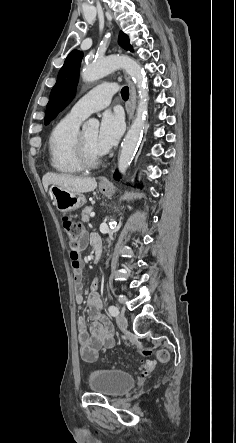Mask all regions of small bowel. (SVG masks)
I'll return each mask as SVG.
<instances>
[{
    "mask_svg": "<svg viewBox=\"0 0 236 443\" xmlns=\"http://www.w3.org/2000/svg\"><path fill=\"white\" fill-rule=\"evenodd\" d=\"M87 241L86 236L80 239L81 246ZM90 243L95 249L101 245L100 240L93 236L90 238ZM81 266L82 262L80 260ZM83 266L80 272L74 271V288L75 300L79 306H86L88 315L93 321L91 329H88L87 321L84 317L77 320L78 342L81 347V355L84 357L85 353L91 355V359L87 361H94L97 358L98 351L101 348H112L114 346L113 329L110 322L101 313V297L97 291L98 283L94 281L89 292L87 300L83 296Z\"/></svg>",
    "mask_w": 236,
    "mask_h": 443,
    "instance_id": "obj_1",
    "label": "small bowel"
}]
</instances>
